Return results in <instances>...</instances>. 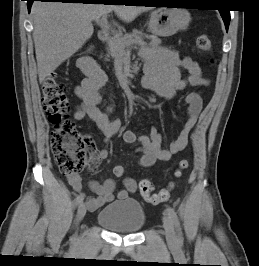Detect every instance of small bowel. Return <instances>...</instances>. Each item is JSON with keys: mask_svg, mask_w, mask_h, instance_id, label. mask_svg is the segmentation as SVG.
Here are the masks:
<instances>
[{"mask_svg": "<svg viewBox=\"0 0 259 266\" xmlns=\"http://www.w3.org/2000/svg\"><path fill=\"white\" fill-rule=\"evenodd\" d=\"M141 56L144 60V75L141 84L145 89L152 91L162 99L170 100L177 92L189 86L201 87L208 86L210 83L203 76L196 61L190 57L180 58L175 51L170 49L159 47L145 50ZM180 69L187 70L189 76L182 78ZM105 82L104 73L94 65L93 74L86 75L82 84L76 89L81 103L75 109L74 118L78 121L88 120L94 123L97 130L103 135L105 143L108 144L120 132L121 122L117 119H109L111 105L105 109L100 107ZM184 102L187 107V119L179 136L170 144L169 149L163 148V136L156 127H151L149 135L137 136L130 130L124 132L123 139L125 142H139L135 152L140 155L138 160L140 166L147 168L157 160L168 161L172 155L187 147L189 134L202 111L203 101L199 92H190L186 95ZM108 154V147L97 149L92 146L90 148V169H97L100 162L107 158ZM68 182L75 191L80 192L82 190V179L78 174L68 175ZM90 189L95 195L89 196L86 199V204L90 211H95L105 203L111 202L115 196L121 200L126 199L129 193L136 191L137 184L133 179L126 178L123 187L115 194V182L112 179H107L103 183L91 181Z\"/></svg>", "mask_w": 259, "mask_h": 266, "instance_id": "1", "label": "small bowel"}]
</instances>
